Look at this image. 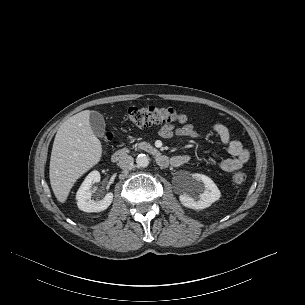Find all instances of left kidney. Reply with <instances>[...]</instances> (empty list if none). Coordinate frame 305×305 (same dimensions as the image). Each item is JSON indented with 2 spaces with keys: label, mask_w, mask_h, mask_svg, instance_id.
<instances>
[{
  "label": "left kidney",
  "mask_w": 305,
  "mask_h": 305,
  "mask_svg": "<svg viewBox=\"0 0 305 305\" xmlns=\"http://www.w3.org/2000/svg\"><path fill=\"white\" fill-rule=\"evenodd\" d=\"M194 186H198L201 192L198 199L192 195ZM220 197L221 192L211 178L195 173L191 175L187 191L179 196V200L187 208L201 210L209 207L212 203L219 200Z\"/></svg>",
  "instance_id": "5707ae66"
}]
</instances>
